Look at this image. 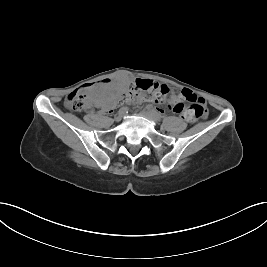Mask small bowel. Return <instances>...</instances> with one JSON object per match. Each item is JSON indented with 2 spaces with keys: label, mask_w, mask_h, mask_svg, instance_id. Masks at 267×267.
Returning <instances> with one entry per match:
<instances>
[{
  "label": "small bowel",
  "mask_w": 267,
  "mask_h": 267,
  "mask_svg": "<svg viewBox=\"0 0 267 267\" xmlns=\"http://www.w3.org/2000/svg\"><path fill=\"white\" fill-rule=\"evenodd\" d=\"M86 90L90 89V87H86ZM116 96L115 92H110L107 96H95L92 100V102L89 104V108H98L101 113L108 112L109 110H106V103L113 99ZM182 95L181 94H174L172 93L170 96V104L172 105V110L173 108L178 105L182 104ZM174 112V111H173ZM189 122H194L196 120H191L185 118Z\"/></svg>",
  "instance_id": "obj_1"
}]
</instances>
